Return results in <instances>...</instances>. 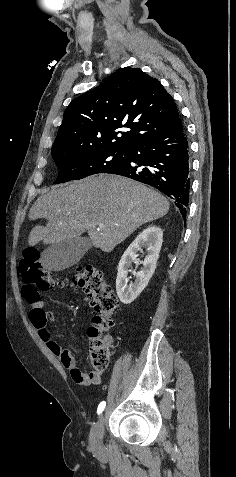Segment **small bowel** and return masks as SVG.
<instances>
[{
    "label": "small bowel",
    "mask_w": 236,
    "mask_h": 477,
    "mask_svg": "<svg viewBox=\"0 0 236 477\" xmlns=\"http://www.w3.org/2000/svg\"><path fill=\"white\" fill-rule=\"evenodd\" d=\"M31 309L29 320L40 338L47 345L49 350L60 358L63 366L70 371L73 381L77 384L91 385L99 384L102 381V375L99 372L91 371L88 373L81 372L76 366L75 357L70 349L63 348L55 339L49 324L55 320V313L45 310V304L42 301L30 302ZM76 340V335H72ZM107 345H112V339H106ZM74 349L78 353H82V349L78 344H74Z\"/></svg>",
    "instance_id": "obj_1"
}]
</instances>
